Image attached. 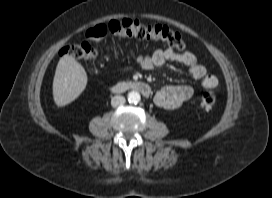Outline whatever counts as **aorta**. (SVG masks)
I'll list each match as a JSON object with an SVG mask.
<instances>
[{"mask_svg":"<svg viewBox=\"0 0 272 198\" xmlns=\"http://www.w3.org/2000/svg\"><path fill=\"white\" fill-rule=\"evenodd\" d=\"M141 96L137 91H131L128 93V101L129 103L136 104L140 101Z\"/></svg>","mask_w":272,"mask_h":198,"instance_id":"aorta-1","label":"aorta"}]
</instances>
